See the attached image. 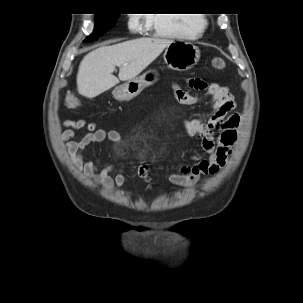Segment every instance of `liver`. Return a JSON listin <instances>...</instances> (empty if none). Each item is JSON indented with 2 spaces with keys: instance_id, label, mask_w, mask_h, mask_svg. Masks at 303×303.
I'll return each instance as SVG.
<instances>
[{
  "instance_id": "6515ba94",
  "label": "liver",
  "mask_w": 303,
  "mask_h": 303,
  "mask_svg": "<svg viewBox=\"0 0 303 303\" xmlns=\"http://www.w3.org/2000/svg\"><path fill=\"white\" fill-rule=\"evenodd\" d=\"M172 42L170 39L143 37L91 51L79 65V94L92 99L119 81L135 78ZM116 66L119 67L118 78L112 74Z\"/></svg>"
}]
</instances>
